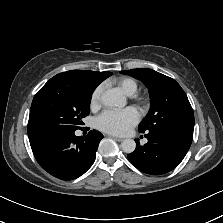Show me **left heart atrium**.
Wrapping results in <instances>:
<instances>
[{
    "label": "left heart atrium",
    "mask_w": 223,
    "mask_h": 223,
    "mask_svg": "<svg viewBox=\"0 0 223 223\" xmlns=\"http://www.w3.org/2000/svg\"><path fill=\"white\" fill-rule=\"evenodd\" d=\"M140 119L138 111L134 107H127L122 110L107 109L97 119V126L100 130L122 135L134 127Z\"/></svg>",
    "instance_id": "obj_1"
}]
</instances>
